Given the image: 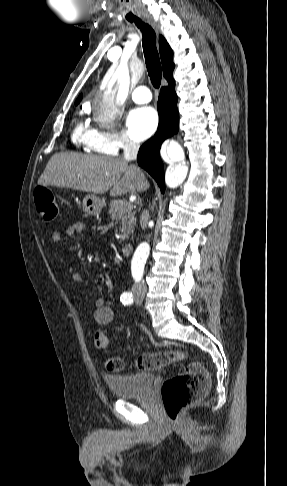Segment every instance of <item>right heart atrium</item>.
Instances as JSON below:
<instances>
[{"label":"right heart atrium","mask_w":287,"mask_h":486,"mask_svg":"<svg viewBox=\"0 0 287 486\" xmlns=\"http://www.w3.org/2000/svg\"><path fill=\"white\" fill-rule=\"evenodd\" d=\"M137 144L123 130L111 129L97 131L91 144V149L98 153L116 155L120 151H129Z\"/></svg>","instance_id":"1"}]
</instances>
